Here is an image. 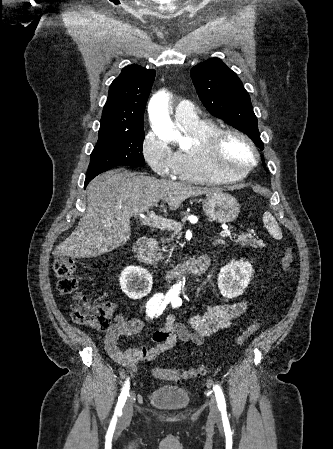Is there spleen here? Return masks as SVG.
Returning <instances> with one entry per match:
<instances>
[{"label":"spleen","instance_id":"1","mask_svg":"<svg viewBox=\"0 0 333 449\" xmlns=\"http://www.w3.org/2000/svg\"><path fill=\"white\" fill-rule=\"evenodd\" d=\"M263 221L265 226L267 227L269 233L275 238V239H281L282 238V232L280 230V227L276 221V219L272 216L270 212H265L263 215Z\"/></svg>","mask_w":333,"mask_h":449}]
</instances>
